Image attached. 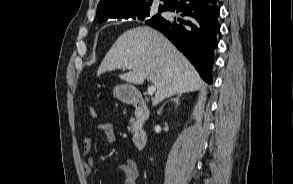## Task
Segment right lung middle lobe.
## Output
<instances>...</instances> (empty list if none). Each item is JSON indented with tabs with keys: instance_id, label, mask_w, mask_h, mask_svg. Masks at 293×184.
I'll return each mask as SVG.
<instances>
[{
	"instance_id": "right-lung-middle-lobe-1",
	"label": "right lung middle lobe",
	"mask_w": 293,
	"mask_h": 184,
	"mask_svg": "<svg viewBox=\"0 0 293 184\" xmlns=\"http://www.w3.org/2000/svg\"><path fill=\"white\" fill-rule=\"evenodd\" d=\"M164 11V9H159V12H162ZM149 12L150 10L148 11H143V12H139L137 14H135L133 17L131 18H134V19H140V20H143L145 19L147 16H149ZM162 17L158 14V15H155L154 17H152L149 21H154V20H158V19H161Z\"/></svg>"
}]
</instances>
